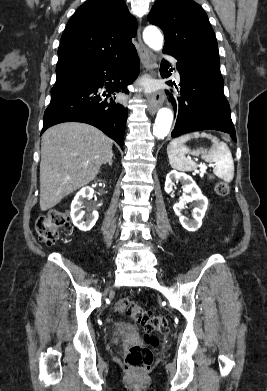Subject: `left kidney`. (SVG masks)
Masks as SVG:
<instances>
[{"label":"left kidney","instance_id":"5707ae66","mask_svg":"<svg viewBox=\"0 0 267 391\" xmlns=\"http://www.w3.org/2000/svg\"><path fill=\"white\" fill-rule=\"evenodd\" d=\"M175 182H181L184 193H189L190 196L184 195L179 203H176L173 206L175 214L179 217L181 225L188 231H196L202 224V219L207 210L208 200L205 196L202 195L201 190L196 185L195 181L191 176L185 173H179L175 170L169 172L166 176L165 181V192L171 193ZM188 202H194L195 208L193 210V220L183 216L181 214L184 205Z\"/></svg>","mask_w":267,"mask_h":391}]
</instances>
